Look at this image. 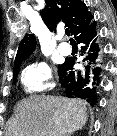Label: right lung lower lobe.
I'll return each mask as SVG.
<instances>
[{
    "label": "right lung lower lobe",
    "mask_w": 117,
    "mask_h": 136,
    "mask_svg": "<svg viewBox=\"0 0 117 136\" xmlns=\"http://www.w3.org/2000/svg\"><path fill=\"white\" fill-rule=\"evenodd\" d=\"M96 35L95 21L92 19L76 37L78 43H84L81 51L86 54L83 60L87 63L85 72L68 71L73 69L75 58L66 59L58 68L59 82L61 87L65 89L66 96L85 99L92 106L97 104L96 89L100 84L102 72Z\"/></svg>",
    "instance_id": "obj_1"
}]
</instances>
